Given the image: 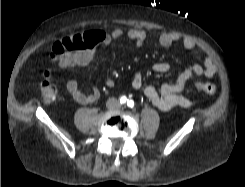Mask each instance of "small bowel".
<instances>
[{
    "mask_svg": "<svg viewBox=\"0 0 245 187\" xmlns=\"http://www.w3.org/2000/svg\"><path fill=\"white\" fill-rule=\"evenodd\" d=\"M87 42L89 48L83 51L69 53L61 58H57V64L60 68H68L72 66L88 65L94 57V47L99 45L103 50L109 48L115 40L126 37L132 41L136 47H140L147 40L148 35L144 30L129 29L124 30L116 28L111 32H105L100 29H91L87 33ZM159 44L163 47H170L176 42H182L187 50L194 51L196 49L195 42L188 37H183L176 33L163 32L158 37ZM171 66L167 62L156 63L152 70L158 74H164L170 71ZM217 68L211 57H205L203 64H195L192 67L181 72L172 84L163 85L159 90L152 85H144L141 74L136 73L131 78V86L134 89H142L146 98L159 110L167 112L176 107H189L192 101L183 96L181 92L188 86L189 82L196 76H205L211 78L216 74ZM112 81L107 82V86L111 87ZM66 90L68 94L80 104H90L100 97V91L93 88L89 93L83 92L79 87V81L72 79L67 82Z\"/></svg>",
    "mask_w": 245,
    "mask_h": 187,
    "instance_id": "small-bowel-1",
    "label": "small bowel"
}]
</instances>
